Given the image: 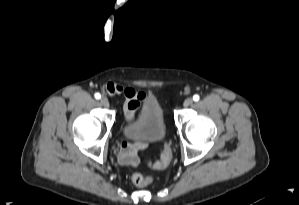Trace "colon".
<instances>
[{"instance_id":"colon-1","label":"colon","mask_w":299,"mask_h":205,"mask_svg":"<svg viewBox=\"0 0 299 205\" xmlns=\"http://www.w3.org/2000/svg\"><path fill=\"white\" fill-rule=\"evenodd\" d=\"M171 150L168 146L165 147L164 152L161 156V160L151 163V166L156 169H161L166 167L171 160ZM131 180L136 186H145L152 182L153 178L150 176H145L141 172H134L131 175Z\"/></svg>"}]
</instances>
